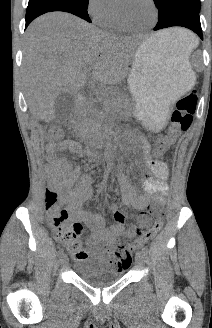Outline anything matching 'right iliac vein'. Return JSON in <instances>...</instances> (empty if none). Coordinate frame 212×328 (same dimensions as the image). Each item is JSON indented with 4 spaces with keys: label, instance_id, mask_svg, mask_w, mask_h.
<instances>
[{
    "label": "right iliac vein",
    "instance_id": "63e3f726",
    "mask_svg": "<svg viewBox=\"0 0 212 328\" xmlns=\"http://www.w3.org/2000/svg\"><path fill=\"white\" fill-rule=\"evenodd\" d=\"M61 263H62L64 266H66V265L68 264V258H67L66 255H63V256L61 257Z\"/></svg>",
    "mask_w": 212,
    "mask_h": 328
}]
</instances>
